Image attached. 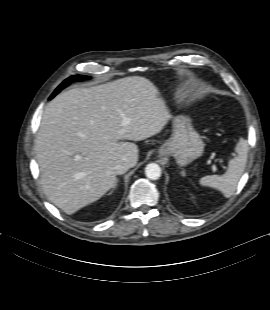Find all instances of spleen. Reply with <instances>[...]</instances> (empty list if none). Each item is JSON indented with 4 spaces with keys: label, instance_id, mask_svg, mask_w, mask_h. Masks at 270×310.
<instances>
[{
    "label": "spleen",
    "instance_id": "obj_1",
    "mask_svg": "<svg viewBox=\"0 0 270 310\" xmlns=\"http://www.w3.org/2000/svg\"><path fill=\"white\" fill-rule=\"evenodd\" d=\"M237 156L228 162L227 172L223 175H207L199 180V184L219 190L228 198L231 197L238 185L247 162V147L244 139H240L236 145Z\"/></svg>",
    "mask_w": 270,
    "mask_h": 310
}]
</instances>
